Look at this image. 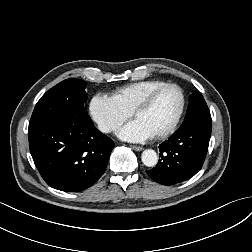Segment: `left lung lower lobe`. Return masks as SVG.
<instances>
[{
  "mask_svg": "<svg viewBox=\"0 0 252 252\" xmlns=\"http://www.w3.org/2000/svg\"><path fill=\"white\" fill-rule=\"evenodd\" d=\"M211 128V122H194L180 127L159 145L161 159L147 174L163 185L177 184L194 176L204 163Z\"/></svg>",
  "mask_w": 252,
  "mask_h": 252,
  "instance_id": "left-lung-lower-lobe-1",
  "label": "left lung lower lobe"
}]
</instances>
